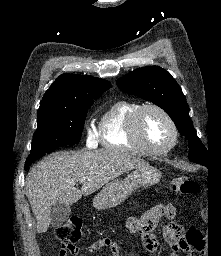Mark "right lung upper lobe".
Listing matches in <instances>:
<instances>
[{
  "mask_svg": "<svg viewBox=\"0 0 221 256\" xmlns=\"http://www.w3.org/2000/svg\"><path fill=\"white\" fill-rule=\"evenodd\" d=\"M110 86V82L96 77L62 74L45 92L38 112L75 108L79 100L100 97Z\"/></svg>",
  "mask_w": 221,
  "mask_h": 256,
  "instance_id": "obj_1",
  "label": "right lung upper lobe"
}]
</instances>
